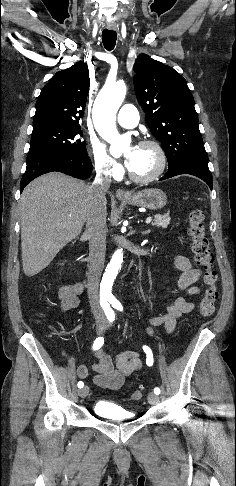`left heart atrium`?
Wrapping results in <instances>:
<instances>
[{
	"instance_id": "obj_1",
	"label": "left heart atrium",
	"mask_w": 236,
	"mask_h": 486,
	"mask_svg": "<svg viewBox=\"0 0 236 486\" xmlns=\"http://www.w3.org/2000/svg\"><path fill=\"white\" fill-rule=\"evenodd\" d=\"M136 153H137V147L134 146L130 149V151L128 152V154L125 157V164L129 169L131 168V166L134 163Z\"/></svg>"
}]
</instances>
